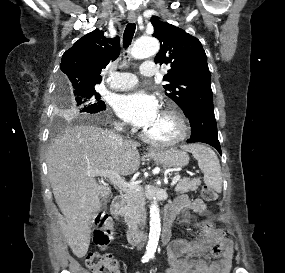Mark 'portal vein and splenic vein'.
<instances>
[{"mask_svg": "<svg viewBox=\"0 0 285 273\" xmlns=\"http://www.w3.org/2000/svg\"><path fill=\"white\" fill-rule=\"evenodd\" d=\"M94 175L109 178L114 184H116L119 188L125 191L133 190L139 187L137 185H132V184L125 182L121 178V176L114 171L100 170V171L94 172ZM180 178H181L180 175H176L171 182V186L173 187L180 180Z\"/></svg>", "mask_w": 285, "mask_h": 273, "instance_id": "1", "label": "portal vein and splenic vein"}]
</instances>
